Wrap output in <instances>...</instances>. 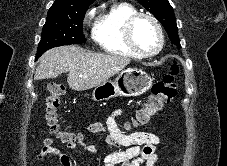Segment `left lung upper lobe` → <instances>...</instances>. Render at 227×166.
Wrapping results in <instances>:
<instances>
[{
    "mask_svg": "<svg viewBox=\"0 0 227 166\" xmlns=\"http://www.w3.org/2000/svg\"><path fill=\"white\" fill-rule=\"evenodd\" d=\"M146 10L150 11L164 26L169 39L177 47L180 46L178 28L173 8L168 0H137Z\"/></svg>",
    "mask_w": 227,
    "mask_h": 166,
    "instance_id": "left-lung-upper-lobe-1",
    "label": "left lung upper lobe"
}]
</instances>
